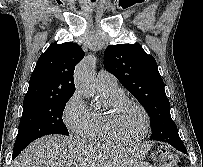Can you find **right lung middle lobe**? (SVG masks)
I'll list each match as a JSON object with an SVG mask.
<instances>
[{"instance_id": "1", "label": "right lung middle lobe", "mask_w": 203, "mask_h": 167, "mask_svg": "<svg viewBox=\"0 0 203 167\" xmlns=\"http://www.w3.org/2000/svg\"><path fill=\"white\" fill-rule=\"evenodd\" d=\"M70 98L71 96H66L23 102V114L13 155L19 154L39 137L49 134L69 135L62 115Z\"/></svg>"}]
</instances>
